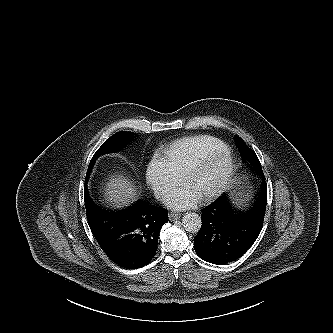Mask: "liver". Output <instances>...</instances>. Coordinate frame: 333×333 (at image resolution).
Returning <instances> with one entry per match:
<instances>
[{
  "mask_svg": "<svg viewBox=\"0 0 333 333\" xmlns=\"http://www.w3.org/2000/svg\"><path fill=\"white\" fill-rule=\"evenodd\" d=\"M104 195L111 205L123 207L135 200L137 187L124 175L114 174L105 184Z\"/></svg>",
  "mask_w": 333,
  "mask_h": 333,
  "instance_id": "liver-1",
  "label": "liver"
}]
</instances>
